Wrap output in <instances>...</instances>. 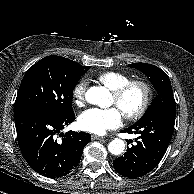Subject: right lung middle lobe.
I'll use <instances>...</instances> for the list:
<instances>
[{
  "instance_id": "dd1d6c3e",
  "label": "right lung middle lobe",
  "mask_w": 194,
  "mask_h": 194,
  "mask_svg": "<svg viewBox=\"0 0 194 194\" xmlns=\"http://www.w3.org/2000/svg\"><path fill=\"white\" fill-rule=\"evenodd\" d=\"M89 68L61 56L44 57L24 75L14 112L30 108L56 115L72 112L73 89Z\"/></svg>"
}]
</instances>
